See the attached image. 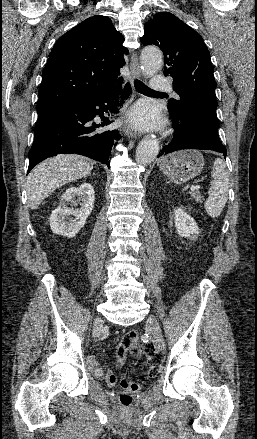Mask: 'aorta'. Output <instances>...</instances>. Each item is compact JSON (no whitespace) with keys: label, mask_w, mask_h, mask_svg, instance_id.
I'll return each instance as SVG.
<instances>
[{"label":"aorta","mask_w":257,"mask_h":439,"mask_svg":"<svg viewBox=\"0 0 257 439\" xmlns=\"http://www.w3.org/2000/svg\"><path fill=\"white\" fill-rule=\"evenodd\" d=\"M162 53L156 47H145L141 52V70L144 75L155 74L162 66ZM159 152V143L152 136L145 137L136 150V161L143 165L154 161Z\"/></svg>","instance_id":"aorta-1"}]
</instances>
